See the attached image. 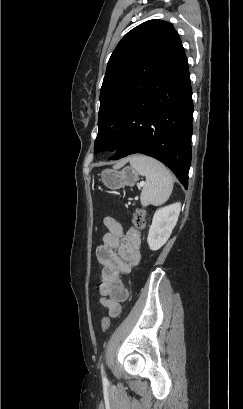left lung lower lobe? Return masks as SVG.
<instances>
[{
    "label": "left lung lower lobe",
    "instance_id": "0a47b994",
    "mask_svg": "<svg viewBox=\"0 0 243 409\" xmlns=\"http://www.w3.org/2000/svg\"><path fill=\"white\" fill-rule=\"evenodd\" d=\"M192 116L188 61L180 44L147 85L109 159L134 153L151 156L167 165L187 188Z\"/></svg>",
    "mask_w": 243,
    "mask_h": 409
}]
</instances>
